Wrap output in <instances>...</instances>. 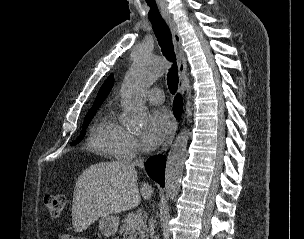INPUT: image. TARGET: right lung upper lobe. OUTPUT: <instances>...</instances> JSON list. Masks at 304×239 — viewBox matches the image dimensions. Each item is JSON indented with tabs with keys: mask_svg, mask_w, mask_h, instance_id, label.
Returning a JSON list of instances; mask_svg holds the SVG:
<instances>
[{
	"mask_svg": "<svg viewBox=\"0 0 304 239\" xmlns=\"http://www.w3.org/2000/svg\"><path fill=\"white\" fill-rule=\"evenodd\" d=\"M113 83H114V79H113V75L111 74L103 83V85L101 86L97 97L95 99V102L93 104V107H98L103 103V101L105 100V98L107 97V95L109 94L110 90L113 87ZM92 107V108H93Z\"/></svg>",
	"mask_w": 304,
	"mask_h": 239,
	"instance_id": "cb5924a9",
	"label": "right lung upper lobe"
}]
</instances>
